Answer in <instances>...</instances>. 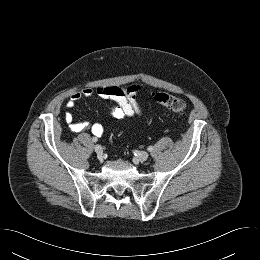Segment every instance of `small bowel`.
Wrapping results in <instances>:
<instances>
[{
  "label": "small bowel",
  "instance_id": "1",
  "mask_svg": "<svg viewBox=\"0 0 260 260\" xmlns=\"http://www.w3.org/2000/svg\"><path fill=\"white\" fill-rule=\"evenodd\" d=\"M142 86L139 84L123 86H99L97 88L86 87L80 91L74 92L66 101V107L73 109L76 103L82 98H90L97 96L104 100H110L114 103L108 110L111 117L115 119H124L139 115L142 113V108L137 100ZM64 119L71 131L79 133L87 129L100 138L105 134V128L101 123L90 124L88 121H75L71 112L64 114Z\"/></svg>",
  "mask_w": 260,
  "mask_h": 260
}]
</instances>
